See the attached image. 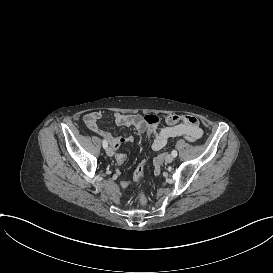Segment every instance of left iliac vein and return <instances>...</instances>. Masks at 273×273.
Listing matches in <instances>:
<instances>
[{
    "mask_svg": "<svg viewBox=\"0 0 273 273\" xmlns=\"http://www.w3.org/2000/svg\"><path fill=\"white\" fill-rule=\"evenodd\" d=\"M173 161V156L171 154H167L165 156V162L166 163H171Z\"/></svg>",
    "mask_w": 273,
    "mask_h": 273,
    "instance_id": "4c4485c4",
    "label": "left iliac vein"
}]
</instances>
